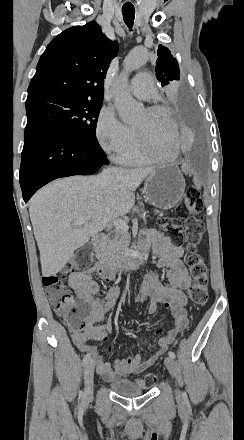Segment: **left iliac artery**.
I'll use <instances>...</instances> for the list:
<instances>
[{
    "mask_svg": "<svg viewBox=\"0 0 244 440\" xmlns=\"http://www.w3.org/2000/svg\"><path fill=\"white\" fill-rule=\"evenodd\" d=\"M169 357L175 358V353L173 351L168 352Z\"/></svg>",
    "mask_w": 244,
    "mask_h": 440,
    "instance_id": "left-iliac-artery-1",
    "label": "left iliac artery"
}]
</instances>
